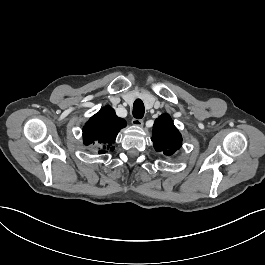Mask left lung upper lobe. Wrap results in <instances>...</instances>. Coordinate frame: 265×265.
<instances>
[{
  "label": "left lung upper lobe",
  "instance_id": "left-lung-upper-lobe-1",
  "mask_svg": "<svg viewBox=\"0 0 265 265\" xmlns=\"http://www.w3.org/2000/svg\"><path fill=\"white\" fill-rule=\"evenodd\" d=\"M154 148L166 156L173 155L182 146V136L168 114H162L153 126Z\"/></svg>",
  "mask_w": 265,
  "mask_h": 265
}]
</instances>
